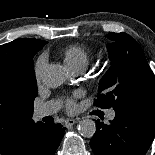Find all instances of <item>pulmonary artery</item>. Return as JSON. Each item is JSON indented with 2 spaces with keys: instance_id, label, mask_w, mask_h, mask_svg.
<instances>
[{
  "instance_id": "obj_1",
  "label": "pulmonary artery",
  "mask_w": 155,
  "mask_h": 155,
  "mask_svg": "<svg viewBox=\"0 0 155 155\" xmlns=\"http://www.w3.org/2000/svg\"><path fill=\"white\" fill-rule=\"evenodd\" d=\"M84 70H85L84 67H78L73 69V72L75 74H81L84 72ZM58 109H59V105L54 101H50L37 107L34 112V117L35 119H42L45 116H49L56 113ZM114 117H115V112L114 111L109 112L108 118L113 119Z\"/></svg>"
}]
</instances>
